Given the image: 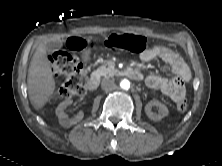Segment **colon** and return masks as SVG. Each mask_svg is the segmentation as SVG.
<instances>
[{
  "label": "colon",
  "instance_id": "5ec220e1",
  "mask_svg": "<svg viewBox=\"0 0 222 166\" xmlns=\"http://www.w3.org/2000/svg\"><path fill=\"white\" fill-rule=\"evenodd\" d=\"M104 45L109 48H118L130 52H142L146 46V39L131 34H112L105 39ZM87 43L80 38H70L66 42L67 51H57L50 56L52 71L64 79L59 94L69 99L82 96L86 89V70L80 61L76 60L70 52L83 50ZM179 111H185L187 101L185 98L177 102Z\"/></svg>",
  "mask_w": 222,
  "mask_h": 166
}]
</instances>
